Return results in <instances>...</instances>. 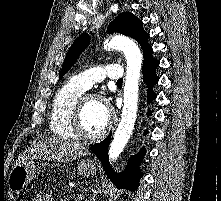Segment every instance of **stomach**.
I'll return each mask as SVG.
<instances>
[{
  "label": "stomach",
  "instance_id": "obj_1",
  "mask_svg": "<svg viewBox=\"0 0 221 201\" xmlns=\"http://www.w3.org/2000/svg\"><path fill=\"white\" fill-rule=\"evenodd\" d=\"M78 173L91 176L96 172L95 165L90 160H82L77 167ZM38 172V166L32 159L19 161L11 170L8 177V187L12 192H20L30 183Z\"/></svg>",
  "mask_w": 221,
  "mask_h": 201
}]
</instances>
